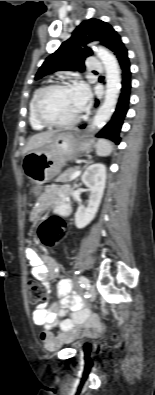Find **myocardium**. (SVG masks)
Here are the masks:
<instances>
[{"mask_svg": "<svg viewBox=\"0 0 155 395\" xmlns=\"http://www.w3.org/2000/svg\"><path fill=\"white\" fill-rule=\"evenodd\" d=\"M72 88V84L69 82H56L42 87L35 96L33 102V113L36 120L45 127H55V128H69L76 125L80 116L77 115L74 119L67 122H56L47 119L41 112V102L46 94L57 89Z\"/></svg>", "mask_w": 155, "mask_h": 395, "instance_id": "f54148a6", "label": "myocardium"}]
</instances>
